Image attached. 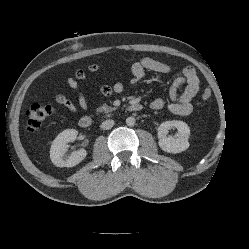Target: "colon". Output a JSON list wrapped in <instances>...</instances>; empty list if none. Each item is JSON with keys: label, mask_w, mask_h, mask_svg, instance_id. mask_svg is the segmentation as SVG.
I'll return each mask as SVG.
<instances>
[{"label": "colon", "mask_w": 249, "mask_h": 249, "mask_svg": "<svg viewBox=\"0 0 249 249\" xmlns=\"http://www.w3.org/2000/svg\"><path fill=\"white\" fill-rule=\"evenodd\" d=\"M211 97V90L205 87L201 90V98L209 100ZM54 113V109L50 105L38 103L32 105L27 111V129L30 132H35L40 126L50 118Z\"/></svg>", "instance_id": "5ec220e1"}]
</instances>
